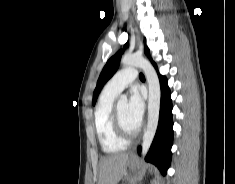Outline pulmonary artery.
I'll use <instances>...</instances> for the list:
<instances>
[{
  "label": "pulmonary artery",
  "mask_w": 235,
  "mask_h": 184,
  "mask_svg": "<svg viewBox=\"0 0 235 184\" xmlns=\"http://www.w3.org/2000/svg\"><path fill=\"white\" fill-rule=\"evenodd\" d=\"M137 76L134 69H124L116 73L105 85L104 93L116 96L127 88Z\"/></svg>",
  "instance_id": "obj_1"
}]
</instances>
